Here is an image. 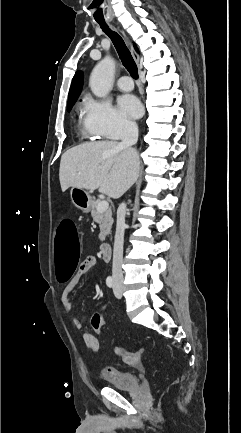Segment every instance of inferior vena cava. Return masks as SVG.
I'll list each match as a JSON object with an SVG mask.
<instances>
[{
    "mask_svg": "<svg viewBox=\"0 0 241 433\" xmlns=\"http://www.w3.org/2000/svg\"><path fill=\"white\" fill-rule=\"evenodd\" d=\"M138 126L135 122L127 121L124 124L122 135V147H131L138 141ZM125 215L126 204L121 203L117 210V223L116 233L113 248V264H112V277L115 281H123L122 261H123V244L125 232Z\"/></svg>",
    "mask_w": 241,
    "mask_h": 433,
    "instance_id": "602c4592",
    "label": "inferior vena cava"
}]
</instances>
